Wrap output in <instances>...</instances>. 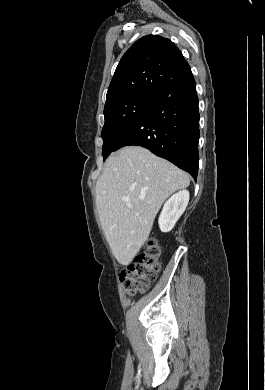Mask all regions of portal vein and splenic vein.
Returning a JSON list of instances; mask_svg holds the SVG:
<instances>
[{
  "label": "portal vein and splenic vein",
  "mask_w": 265,
  "mask_h": 390,
  "mask_svg": "<svg viewBox=\"0 0 265 390\" xmlns=\"http://www.w3.org/2000/svg\"><path fill=\"white\" fill-rule=\"evenodd\" d=\"M122 200H123L125 203H128V202H129V199H128V198H122Z\"/></svg>",
  "instance_id": "18ae733b"
}]
</instances>
